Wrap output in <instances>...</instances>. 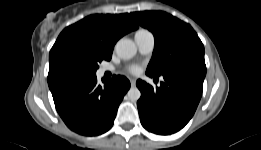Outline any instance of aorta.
Segmentation results:
<instances>
[{
	"mask_svg": "<svg viewBox=\"0 0 261 150\" xmlns=\"http://www.w3.org/2000/svg\"><path fill=\"white\" fill-rule=\"evenodd\" d=\"M116 54L122 59H131L135 56L137 48L135 43L130 39H121L115 46ZM131 101L139 100L141 92L137 87H131L127 93Z\"/></svg>",
	"mask_w": 261,
	"mask_h": 150,
	"instance_id": "obj_1",
	"label": "aorta"
}]
</instances>
